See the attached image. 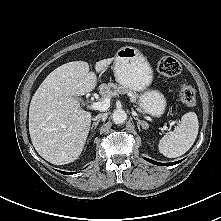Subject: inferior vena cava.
Returning a JSON list of instances; mask_svg holds the SVG:
<instances>
[{"label":"inferior vena cava","mask_w":221,"mask_h":221,"mask_svg":"<svg viewBox=\"0 0 221 221\" xmlns=\"http://www.w3.org/2000/svg\"><path fill=\"white\" fill-rule=\"evenodd\" d=\"M107 118L106 113L98 114L95 118H93L94 121H100V120H105Z\"/></svg>","instance_id":"1"}]
</instances>
